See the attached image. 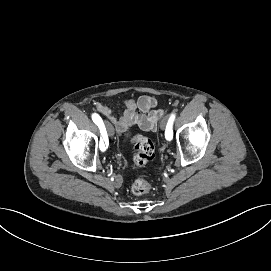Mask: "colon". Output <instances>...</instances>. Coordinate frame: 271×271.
<instances>
[{
	"mask_svg": "<svg viewBox=\"0 0 271 271\" xmlns=\"http://www.w3.org/2000/svg\"><path fill=\"white\" fill-rule=\"evenodd\" d=\"M135 154L133 160L136 165L143 166L154 158V145L150 139L142 135H136L133 138ZM151 183L144 178L135 180L132 185V192L135 195H143L150 191Z\"/></svg>",
	"mask_w": 271,
	"mask_h": 271,
	"instance_id": "colon-1",
	"label": "colon"
}]
</instances>
